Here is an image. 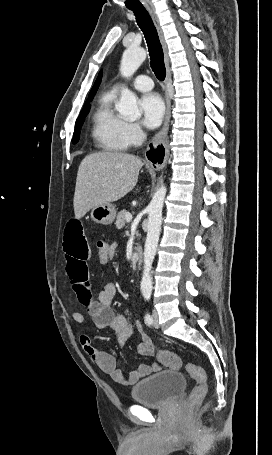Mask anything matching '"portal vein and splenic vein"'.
Here are the masks:
<instances>
[{
    "label": "portal vein and splenic vein",
    "mask_w": 272,
    "mask_h": 455,
    "mask_svg": "<svg viewBox=\"0 0 272 455\" xmlns=\"http://www.w3.org/2000/svg\"><path fill=\"white\" fill-rule=\"evenodd\" d=\"M132 221V215L130 213L126 214V222L129 223Z\"/></svg>",
    "instance_id": "18ae733b"
}]
</instances>
